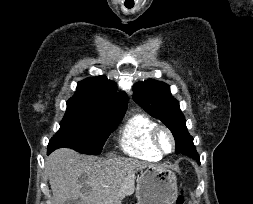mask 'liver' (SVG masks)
I'll return each mask as SVG.
<instances>
[{
    "label": "liver",
    "mask_w": 253,
    "mask_h": 204,
    "mask_svg": "<svg viewBox=\"0 0 253 204\" xmlns=\"http://www.w3.org/2000/svg\"><path fill=\"white\" fill-rule=\"evenodd\" d=\"M150 166L133 158L102 159L61 148L46 159L52 204L78 199V204H120L126 176Z\"/></svg>",
    "instance_id": "obj_1"
}]
</instances>
